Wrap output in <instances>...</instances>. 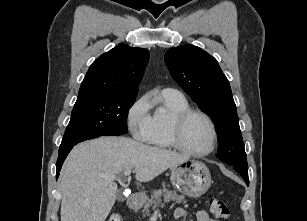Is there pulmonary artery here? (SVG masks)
Returning <instances> with one entry per match:
<instances>
[{
  "label": "pulmonary artery",
  "instance_id": "e3ab8cb5",
  "mask_svg": "<svg viewBox=\"0 0 307 221\" xmlns=\"http://www.w3.org/2000/svg\"><path fill=\"white\" fill-rule=\"evenodd\" d=\"M163 91L178 92L177 90L172 89V88H164ZM178 93H179V92H178Z\"/></svg>",
  "mask_w": 307,
  "mask_h": 221
}]
</instances>
